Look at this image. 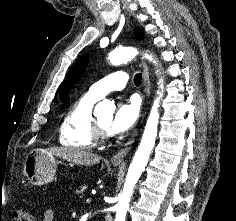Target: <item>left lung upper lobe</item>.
I'll return each instance as SVG.
<instances>
[{
  "mask_svg": "<svg viewBox=\"0 0 236 221\" xmlns=\"http://www.w3.org/2000/svg\"><path fill=\"white\" fill-rule=\"evenodd\" d=\"M134 32L137 39H141L144 35L143 31L139 27L135 28ZM88 61L89 57L87 55L81 57L68 72L60 91V98L63 101H66L68 99L70 90L73 88L75 83L79 80V78L85 71Z\"/></svg>",
  "mask_w": 236,
  "mask_h": 221,
  "instance_id": "left-lung-upper-lobe-1",
  "label": "left lung upper lobe"
}]
</instances>
